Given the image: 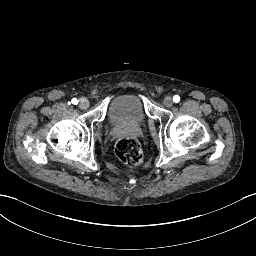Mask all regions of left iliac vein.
Returning <instances> with one entry per match:
<instances>
[{
    "label": "left iliac vein",
    "instance_id": "obj_1",
    "mask_svg": "<svg viewBox=\"0 0 256 256\" xmlns=\"http://www.w3.org/2000/svg\"><path fill=\"white\" fill-rule=\"evenodd\" d=\"M163 102L166 107H171L173 105V99L170 96L165 97Z\"/></svg>",
    "mask_w": 256,
    "mask_h": 256
}]
</instances>
